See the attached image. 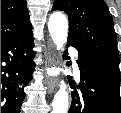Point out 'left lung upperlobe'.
I'll return each mask as SVG.
<instances>
[{
	"label": "left lung upper lobe",
	"mask_w": 121,
	"mask_h": 113,
	"mask_svg": "<svg viewBox=\"0 0 121 113\" xmlns=\"http://www.w3.org/2000/svg\"><path fill=\"white\" fill-rule=\"evenodd\" d=\"M52 10L69 17L68 42L120 80L113 19L103 0H55Z\"/></svg>",
	"instance_id": "1"
}]
</instances>
